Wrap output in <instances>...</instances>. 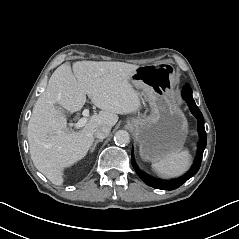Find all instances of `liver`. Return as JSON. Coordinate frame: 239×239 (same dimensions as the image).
<instances>
[{
  "label": "liver",
  "mask_w": 239,
  "mask_h": 239,
  "mask_svg": "<svg viewBox=\"0 0 239 239\" xmlns=\"http://www.w3.org/2000/svg\"><path fill=\"white\" fill-rule=\"evenodd\" d=\"M138 68L139 65L125 62L82 60L73 64L78 82L70 63L62 64L52 74L34 105L27 138L34 166L54 185L63 186L65 170L87 156L94 143L95 128H112L118 115L144 110V94L131 80ZM85 94L102 111L89 116L77 133L63 130L68 120L66 113L78 112L85 103ZM153 94L150 89L149 95Z\"/></svg>",
  "instance_id": "1"
}]
</instances>
